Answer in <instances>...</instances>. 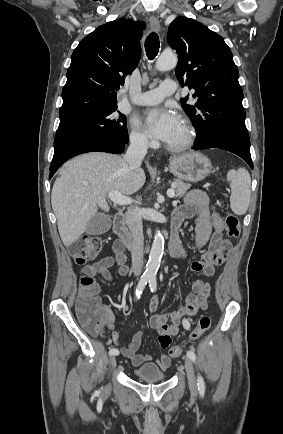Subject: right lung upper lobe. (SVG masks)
<instances>
[{
    "instance_id": "1",
    "label": "right lung upper lobe",
    "mask_w": 283,
    "mask_h": 434,
    "mask_svg": "<svg viewBox=\"0 0 283 434\" xmlns=\"http://www.w3.org/2000/svg\"><path fill=\"white\" fill-rule=\"evenodd\" d=\"M143 22L124 18L99 26L76 47L59 116L117 107L116 91L136 68Z\"/></svg>"
}]
</instances>
